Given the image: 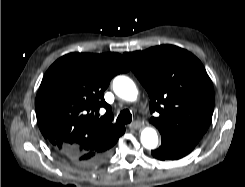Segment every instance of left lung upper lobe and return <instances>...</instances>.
<instances>
[{"label": "left lung upper lobe", "mask_w": 245, "mask_h": 187, "mask_svg": "<svg viewBox=\"0 0 245 187\" xmlns=\"http://www.w3.org/2000/svg\"><path fill=\"white\" fill-rule=\"evenodd\" d=\"M147 90L150 122L170 132L204 134L211 122L215 94L202 63L190 52L173 45L123 54Z\"/></svg>", "instance_id": "obj_1"}]
</instances>
